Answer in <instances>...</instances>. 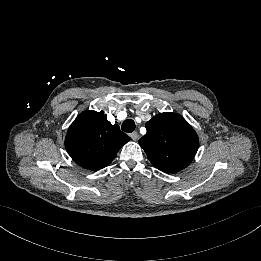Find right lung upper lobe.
Wrapping results in <instances>:
<instances>
[{"label":"right lung upper lobe","mask_w":261,"mask_h":261,"mask_svg":"<svg viewBox=\"0 0 261 261\" xmlns=\"http://www.w3.org/2000/svg\"><path fill=\"white\" fill-rule=\"evenodd\" d=\"M130 138L103 112L84 111L68 129L65 147L81 167L98 170L111 163Z\"/></svg>","instance_id":"1"}]
</instances>
